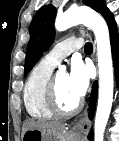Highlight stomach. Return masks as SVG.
<instances>
[{
  "label": "stomach",
  "instance_id": "0dacf381",
  "mask_svg": "<svg viewBox=\"0 0 119 141\" xmlns=\"http://www.w3.org/2000/svg\"><path fill=\"white\" fill-rule=\"evenodd\" d=\"M22 141H80V137L69 131L45 132L28 129L22 134Z\"/></svg>",
  "mask_w": 119,
  "mask_h": 141
}]
</instances>
